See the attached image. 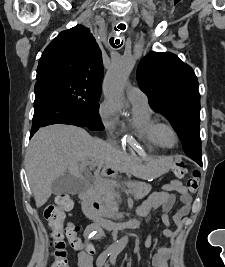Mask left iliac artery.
Wrapping results in <instances>:
<instances>
[{"instance_id":"obj_1","label":"left iliac artery","mask_w":225,"mask_h":267,"mask_svg":"<svg viewBox=\"0 0 225 267\" xmlns=\"http://www.w3.org/2000/svg\"><path fill=\"white\" fill-rule=\"evenodd\" d=\"M118 253L119 252H117V251L112 252L111 257H110V262L112 264H115L116 263V258H117Z\"/></svg>"}]
</instances>
